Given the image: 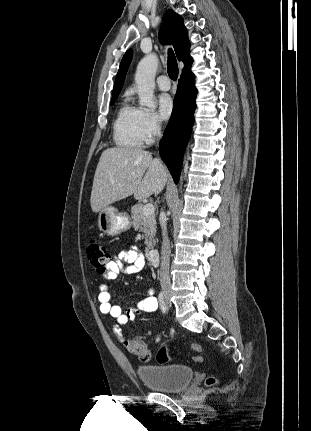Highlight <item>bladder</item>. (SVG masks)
<instances>
[{"label":"bladder","mask_w":311,"mask_h":431,"mask_svg":"<svg viewBox=\"0 0 311 431\" xmlns=\"http://www.w3.org/2000/svg\"><path fill=\"white\" fill-rule=\"evenodd\" d=\"M136 372L145 386L168 393L184 389L194 377L192 368L185 364L140 365Z\"/></svg>","instance_id":"obj_1"}]
</instances>
